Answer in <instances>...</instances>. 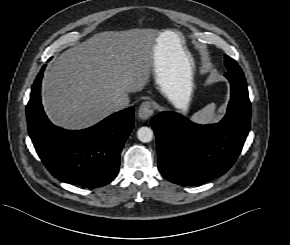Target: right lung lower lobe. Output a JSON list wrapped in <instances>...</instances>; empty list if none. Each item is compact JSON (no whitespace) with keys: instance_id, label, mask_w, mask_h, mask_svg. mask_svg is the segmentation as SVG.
Instances as JSON below:
<instances>
[{"instance_id":"98d812e1","label":"right lung lower lobe","mask_w":290,"mask_h":245,"mask_svg":"<svg viewBox=\"0 0 290 245\" xmlns=\"http://www.w3.org/2000/svg\"><path fill=\"white\" fill-rule=\"evenodd\" d=\"M44 65L26 108L29 135L50 173L62 182L103 186L118 174L120 152L132 131L134 108L121 110L100 123L78 131L53 125L44 113L40 86Z\"/></svg>"}]
</instances>
